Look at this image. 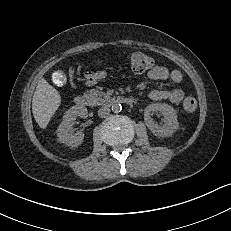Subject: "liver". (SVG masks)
<instances>
[{"label":"liver","instance_id":"liver-1","mask_svg":"<svg viewBox=\"0 0 231 231\" xmlns=\"http://www.w3.org/2000/svg\"><path fill=\"white\" fill-rule=\"evenodd\" d=\"M61 96L45 79H40L32 100V112L40 128L45 129L60 106Z\"/></svg>","mask_w":231,"mask_h":231}]
</instances>
